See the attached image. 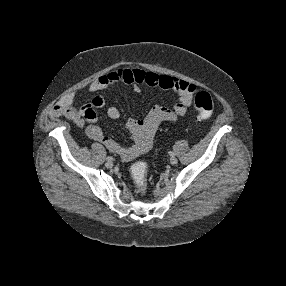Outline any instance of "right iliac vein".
Returning <instances> with one entry per match:
<instances>
[{
  "instance_id": "right-iliac-vein-1",
  "label": "right iliac vein",
  "mask_w": 286,
  "mask_h": 286,
  "mask_svg": "<svg viewBox=\"0 0 286 286\" xmlns=\"http://www.w3.org/2000/svg\"><path fill=\"white\" fill-rule=\"evenodd\" d=\"M105 166H106L107 168H112V167H113V162H112V161H107V162L105 163Z\"/></svg>"
}]
</instances>
